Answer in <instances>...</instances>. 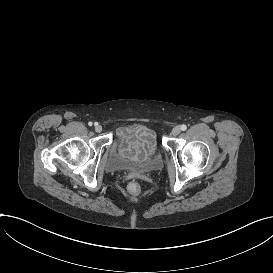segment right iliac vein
<instances>
[{
  "instance_id": "right-iliac-vein-1",
  "label": "right iliac vein",
  "mask_w": 273,
  "mask_h": 273,
  "mask_svg": "<svg viewBox=\"0 0 273 273\" xmlns=\"http://www.w3.org/2000/svg\"><path fill=\"white\" fill-rule=\"evenodd\" d=\"M102 126L101 125H99V124H95V131L97 132V133H100V132H102Z\"/></svg>"
}]
</instances>
